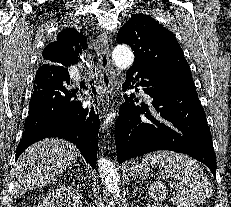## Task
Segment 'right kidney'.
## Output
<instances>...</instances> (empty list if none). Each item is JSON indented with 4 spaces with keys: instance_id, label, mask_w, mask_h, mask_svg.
Returning a JSON list of instances; mask_svg holds the SVG:
<instances>
[{
    "instance_id": "1",
    "label": "right kidney",
    "mask_w": 231,
    "mask_h": 207,
    "mask_svg": "<svg viewBox=\"0 0 231 207\" xmlns=\"http://www.w3.org/2000/svg\"><path fill=\"white\" fill-rule=\"evenodd\" d=\"M82 207L78 190L68 185H59L38 204V207Z\"/></svg>"
}]
</instances>
